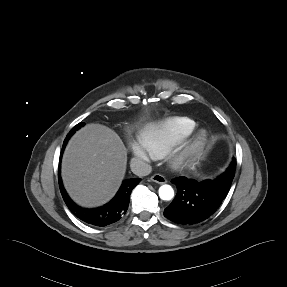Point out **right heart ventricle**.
<instances>
[{"label":"right heart ventricle","mask_w":287,"mask_h":287,"mask_svg":"<svg viewBox=\"0 0 287 287\" xmlns=\"http://www.w3.org/2000/svg\"><path fill=\"white\" fill-rule=\"evenodd\" d=\"M195 129V122L187 117H167L148 122L143 136L148 141L154 156L162 157L171 148L184 142Z\"/></svg>","instance_id":"e07e8e85"}]
</instances>
